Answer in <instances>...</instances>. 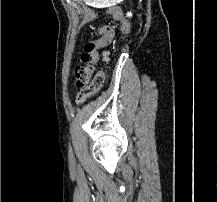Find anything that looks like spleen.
<instances>
[{
	"label": "spleen",
	"instance_id": "3e777b00",
	"mask_svg": "<svg viewBox=\"0 0 217 202\" xmlns=\"http://www.w3.org/2000/svg\"><path fill=\"white\" fill-rule=\"evenodd\" d=\"M85 5H94V7H109V5H120V0H85Z\"/></svg>",
	"mask_w": 217,
	"mask_h": 202
}]
</instances>
